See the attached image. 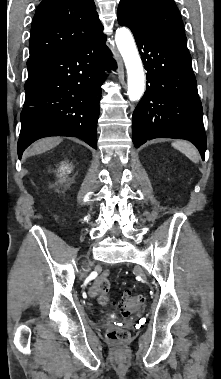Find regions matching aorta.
I'll use <instances>...</instances> for the list:
<instances>
[{"instance_id":"762f6f07","label":"aorta","mask_w":221,"mask_h":379,"mask_svg":"<svg viewBox=\"0 0 221 379\" xmlns=\"http://www.w3.org/2000/svg\"><path fill=\"white\" fill-rule=\"evenodd\" d=\"M115 41L124 60L128 75V96L131 101L140 100L145 91V76L142 62L129 29L116 30Z\"/></svg>"}]
</instances>
